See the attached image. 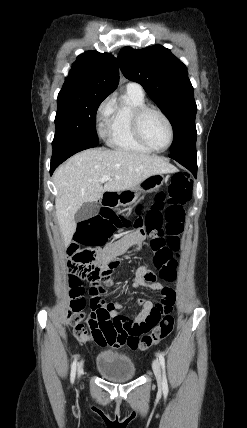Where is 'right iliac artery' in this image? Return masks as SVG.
<instances>
[{
	"instance_id": "right-iliac-artery-1",
	"label": "right iliac artery",
	"mask_w": 247,
	"mask_h": 428,
	"mask_svg": "<svg viewBox=\"0 0 247 428\" xmlns=\"http://www.w3.org/2000/svg\"><path fill=\"white\" fill-rule=\"evenodd\" d=\"M76 368H77V358L74 359L72 366H71V382H74L75 374H76Z\"/></svg>"
}]
</instances>
